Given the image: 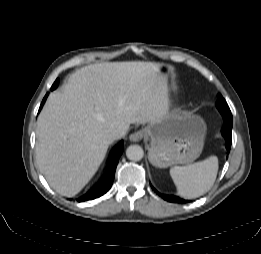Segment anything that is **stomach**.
Segmentation results:
<instances>
[{"instance_id":"0dacf381","label":"stomach","mask_w":261,"mask_h":254,"mask_svg":"<svg viewBox=\"0 0 261 254\" xmlns=\"http://www.w3.org/2000/svg\"><path fill=\"white\" fill-rule=\"evenodd\" d=\"M171 71V66L159 64L158 72L164 79V110L143 129L144 137L149 140V161L159 168L193 162L202 152L206 134V125L200 116L180 110L164 112Z\"/></svg>"}]
</instances>
